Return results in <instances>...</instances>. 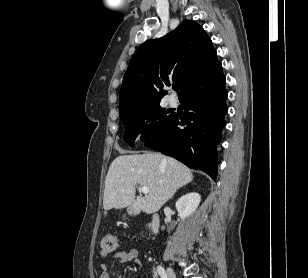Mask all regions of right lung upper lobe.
Here are the masks:
<instances>
[{
    "label": "right lung upper lobe",
    "instance_id": "cb5924a9",
    "mask_svg": "<svg viewBox=\"0 0 308 278\" xmlns=\"http://www.w3.org/2000/svg\"><path fill=\"white\" fill-rule=\"evenodd\" d=\"M221 63L204 29L185 21L162 38L144 42L133 55L120 89V117L156 103L167 94L169 81L181 86L180 99L213 82Z\"/></svg>",
    "mask_w": 308,
    "mask_h": 278
}]
</instances>
